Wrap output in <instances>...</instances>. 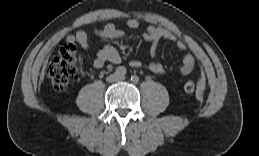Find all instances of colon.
Segmentation results:
<instances>
[{
    "mask_svg": "<svg viewBox=\"0 0 259 156\" xmlns=\"http://www.w3.org/2000/svg\"><path fill=\"white\" fill-rule=\"evenodd\" d=\"M46 73L53 88L64 90L69 82L78 75L75 45L67 44L62 47L59 53L48 63ZM195 89L196 84L193 81H187L184 84L186 93H193Z\"/></svg>",
    "mask_w": 259,
    "mask_h": 156,
    "instance_id": "obj_1",
    "label": "colon"
}]
</instances>
